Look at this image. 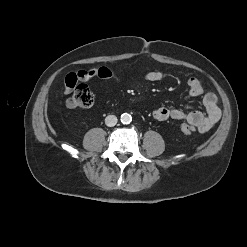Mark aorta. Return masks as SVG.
Here are the masks:
<instances>
[{"label": "aorta", "instance_id": "aorta-1", "mask_svg": "<svg viewBox=\"0 0 247 247\" xmlns=\"http://www.w3.org/2000/svg\"><path fill=\"white\" fill-rule=\"evenodd\" d=\"M131 121H132V117H131L130 114H128V113H123V114L121 115V122H122L123 124H129Z\"/></svg>", "mask_w": 247, "mask_h": 247}]
</instances>
